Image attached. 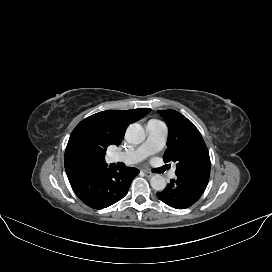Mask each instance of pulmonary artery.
<instances>
[{
  "label": "pulmonary artery",
  "mask_w": 272,
  "mask_h": 272,
  "mask_svg": "<svg viewBox=\"0 0 272 272\" xmlns=\"http://www.w3.org/2000/svg\"><path fill=\"white\" fill-rule=\"evenodd\" d=\"M147 139L138 148L127 152H114L112 159L116 162L135 164L141 162L149 155L160 151L165 145L167 129L164 123L158 120H150L147 125ZM170 178L175 177V171L169 173Z\"/></svg>",
  "instance_id": "obj_1"
}]
</instances>
